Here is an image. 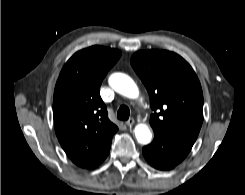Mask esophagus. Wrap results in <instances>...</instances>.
<instances>
[{"label":"esophagus","instance_id":"34e87169","mask_svg":"<svg viewBox=\"0 0 245 195\" xmlns=\"http://www.w3.org/2000/svg\"><path fill=\"white\" fill-rule=\"evenodd\" d=\"M135 124V120L133 118H130L128 121H126V125L128 127H131Z\"/></svg>","mask_w":245,"mask_h":195}]
</instances>
